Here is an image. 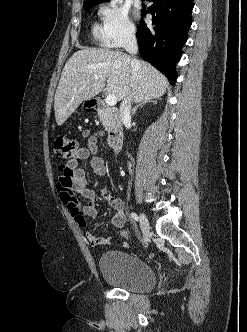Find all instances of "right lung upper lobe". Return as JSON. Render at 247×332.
<instances>
[{
    "label": "right lung upper lobe",
    "mask_w": 247,
    "mask_h": 332,
    "mask_svg": "<svg viewBox=\"0 0 247 332\" xmlns=\"http://www.w3.org/2000/svg\"><path fill=\"white\" fill-rule=\"evenodd\" d=\"M103 1H105V0H84V6L99 4V3H102Z\"/></svg>",
    "instance_id": "obj_1"
}]
</instances>
